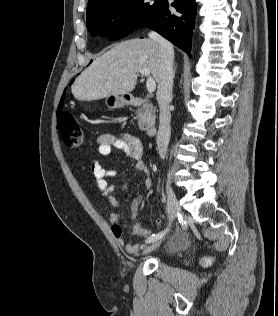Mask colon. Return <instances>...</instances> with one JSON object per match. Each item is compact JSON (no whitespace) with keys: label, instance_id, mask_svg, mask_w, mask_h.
I'll return each mask as SVG.
<instances>
[{"label":"colon","instance_id":"5ec220e1","mask_svg":"<svg viewBox=\"0 0 278 316\" xmlns=\"http://www.w3.org/2000/svg\"><path fill=\"white\" fill-rule=\"evenodd\" d=\"M58 130L65 146L76 149L86 143V134L76 119L67 112H60L57 120ZM207 260L203 261L206 265Z\"/></svg>","mask_w":278,"mask_h":316}]
</instances>
